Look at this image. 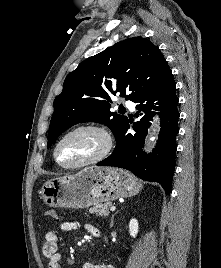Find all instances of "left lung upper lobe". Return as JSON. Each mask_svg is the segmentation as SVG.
Masks as SVG:
<instances>
[{
	"instance_id": "1",
	"label": "left lung upper lobe",
	"mask_w": 221,
	"mask_h": 268,
	"mask_svg": "<svg viewBox=\"0 0 221 268\" xmlns=\"http://www.w3.org/2000/svg\"><path fill=\"white\" fill-rule=\"evenodd\" d=\"M172 77L162 53L142 37L123 40L81 62L69 73L63 91L54 100L47 147L71 126L98 122L116 137L128 119L111 112V96L136 102Z\"/></svg>"
}]
</instances>
